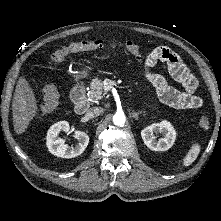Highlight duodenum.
Segmentation results:
<instances>
[{
  "label": "duodenum",
  "instance_id": "410a0bca",
  "mask_svg": "<svg viewBox=\"0 0 221 221\" xmlns=\"http://www.w3.org/2000/svg\"><path fill=\"white\" fill-rule=\"evenodd\" d=\"M70 96L74 103L75 112L77 114H84L89 107L85 87L82 84H76L72 88Z\"/></svg>",
  "mask_w": 221,
  "mask_h": 221
}]
</instances>
